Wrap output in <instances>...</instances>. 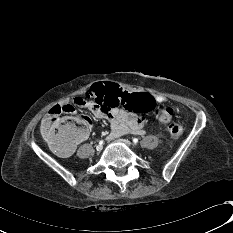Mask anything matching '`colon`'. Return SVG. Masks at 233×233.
I'll return each instance as SVG.
<instances>
[{
  "label": "colon",
  "instance_id": "1",
  "mask_svg": "<svg viewBox=\"0 0 233 233\" xmlns=\"http://www.w3.org/2000/svg\"><path fill=\"white\" fill-rule=\"evenodd\" d=\"M89 96L95 105L99 103L106 109L119 107L139 114L153 112L154 117L163 122H168L174 113L171 107H156L155 98L150 93L126 89L123 84L112 80L95 82L90 87ZM74 112L75 107L71 104L57 105L42 123L45 139L61 156L70 155L71 148L77 141L84 139L90 130L87 117H75L68 122L63 121L64 114ZM167 129L173 138L183 134V127L178 123H170Z\"/></svg>",
  "mask_w": 233,
  "mask_h": 233
}]
</instances>
